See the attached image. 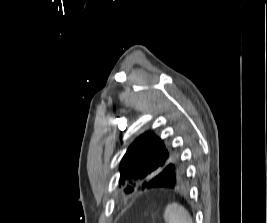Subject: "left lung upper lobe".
Returning a JSON list of instances; mask_svg holds the SVG:
<instances>
[{
    "label": "left lung upper lobe",
    "mask_w": 267,
    "mask_h": 223,
    "mask_svg": "<svg viewBox=\"0 0 267 223\" xmlns=\"http://www.w3.org/2000/svg\"><path fill=\"white\" fill-rule=\"evenodd\" d=\"M184 171L180 156L151 131L140 135L128 148L120 164L119 184L128 183L125 192L139 190L138 184L153 180V173Z\"/></svg>",
    "instance_id": "1"
}]
</instances>
